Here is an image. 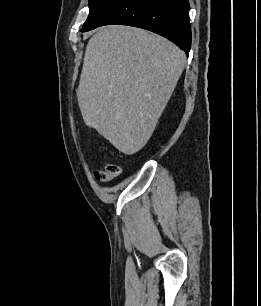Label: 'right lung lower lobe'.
<instances>
[{
	"instance_id": "98d812e1",
	"label": "right lung lower lobe",
	"mask_w": 261,
	"mask_h": 306,
	"mask_svg": "<svg viewBox=\"0 0 261 306\" xmlns=\"http://www.w3.org/2000/svg\"><path fill=\"white\" fill-rule=\"evenodd\" d=\"M110 24L152 31L171 40L189 54L191 28L188 0H113L81 32Z\"/></svg>"
}]
</instances>
